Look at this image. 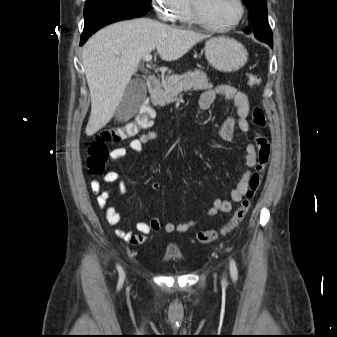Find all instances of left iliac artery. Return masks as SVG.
<instances>
[{
    "label": "left iliac artery",
    "mask_w": 337,
    "mask_h": 337,
    "mask_svg": "<svg viewBox=\"0 0 337 337\" xmlns=\"http://www.w3.org/2000/svg\"><path fill=\"white\" fill-rule=\"evenodd\" d=\"M230 274L233 281H236L238 278V270L236 263L233 259L230 260Z\"/></svg>",
    "instance_id": "obj_1"
}]
</instances>
